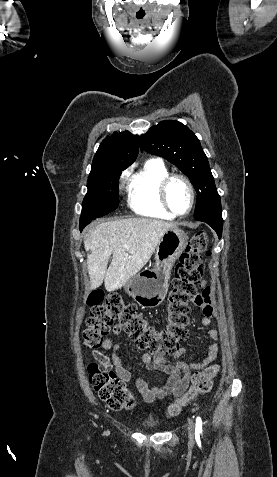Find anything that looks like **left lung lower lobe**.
I'll list each match as a JSON object with an SVG mask.
<instances>
[{
    "label": "left lung lower lobe",
    "instance_id": "left-lung-lower-lobe-1",
    "mask_svg": "<svg viewBox=\"0 0 277 477\" xmlns=\"http://www.w3.org/2000/svg\"><path fill=\"white\" fill-rule=\"evenodd\" d=\"M196 220L209 224L217 232L219 238L221 237L223 227L222 210L196 218Z\"/></svg>",
    "mask_w": 277,
    "mask_h": 477
}]
</instances>
